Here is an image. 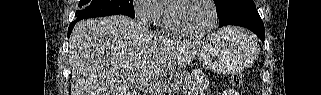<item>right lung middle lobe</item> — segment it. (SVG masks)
Returning a JSON list of instances; mask_svg holds the SVG:
<instances>
[{
	"label": "right lung middle lobe",
	"mask_w": 321,
	"mask_h": 95,
	"mask_svg": "<svg viewBox=\"0 0 321 95\" xmlns=\"http://www.w3.org/2000/svg\"><path fill=\"white\" fill-rule=\"evenodd\" d=\"M77 19L124 14L135 17L132 0H80Z\"/></svg>",
	"instance_id": "dd1d6c3e"
}]
</instances>
